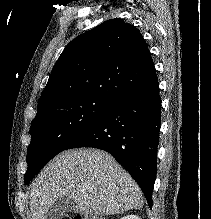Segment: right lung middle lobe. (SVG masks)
<instances>
[{
	"label": "right lung middle lobe",
	"mask_w": 211,
	"mask_h": 219,
	"mask_svg": "<svg viewBox=\"0 0 211 219\" xmlns=\"http://www.w3.org/2000/svg\"><path fill=\"white\" fill-rule=\"evenodd\" d=\"M113 103L100 97L76 98L60 102L36 117L30 127L25 184L93 125Z\"/></svg>",
	"instance_id": "right-lung-middle-lobe-1"
}]
</instances>
